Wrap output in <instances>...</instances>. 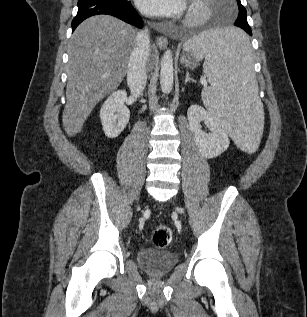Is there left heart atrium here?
<instances>
[{"mask_svg": "<svg viewBox=\"0 0 307 317\" xmlns=\"http://www.w3.org/2000/svg\"><path fill=\"white\" fill-rule=\"evenodd\" d=\"M136 4L143 13L156 17L178 15L186 6L185 0H136Z\"/></svg>", "mask_w": 307, "mask_h": 317, "instance_id": "obj_1", "label": "left heart atrium"}]
</instances>
